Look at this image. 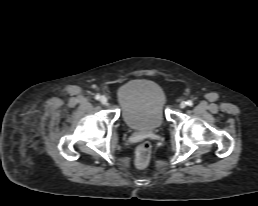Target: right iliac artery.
Returning <instances> with one entry per match:
<instances>
[{
    "instance_id": "right-iliac-artery-1",
    "label": "right iliac artery",
    "mask_w": 258,
    "mask_h": 206,
    "mask_svg": "<svg viewBox=\"0 0 258 206\" xmlns=\"http://www.w3.org/2000/svg\"><path fill=\"white\" fill-rule=\"evenodd\" d=\"M95 99H96V100H99V99H100V95L97 94V95L95 96Z\"/></svg>"
}]
</instances>
